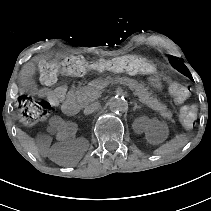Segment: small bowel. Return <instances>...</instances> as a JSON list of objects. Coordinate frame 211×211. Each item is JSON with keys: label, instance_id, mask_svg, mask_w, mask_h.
Returning a JSON list of instances; mask_svg holds the SVG:
<instances>
[{"label": "small bowel", "instance_id": "c3829d8e", "mask_svg": "<svg viewBox=\"0 0 211 211\" xmlns=\"http://www.w3.org/2000/svg\"><path fill=\"white\" fill-rule=\"evenodd\" d=\"M55 56L56 55L53 54H41L24 66L20 78V85L23 91L33 92L35 90L33 76L37 67ZM66 92L67 87L65 85H60L55 89L40 90L39 95L46 98L53 106H57L64 100Z\"/></svg>", "mask_w": 211, "mask_h": 211}]
</instances>
